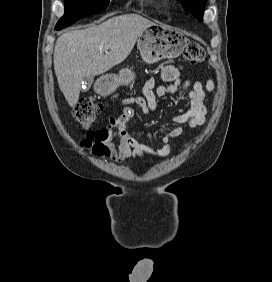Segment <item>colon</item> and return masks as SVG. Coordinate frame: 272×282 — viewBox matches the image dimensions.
Here are the masks:
<instances>
[{"label":"colon","mask_w":272,"mask_h":282,"mask_svg":"<svg viewBox=\"0 0 272 282\" xmlns=\"http://www.w3.org/2000/svg\"><path fill=\"white\" fill-rule=\"evenodd\" d=\"M184 60L190 64H201L206 57V53L201 45L196 42H188L184 51ZM169 86V85H166ZM102 105L95 97L82 99L74 109V118L83 126H90L94 123L98 115L102 112ZM111 137L108 129H99L87 134L82 141L85 147L92 149L93 153L99 157H108L109 148L107 143Z\"/></svg>","instance_id":"5ec220e1"}]
</instances>
